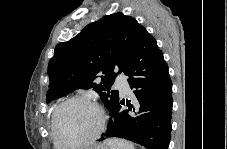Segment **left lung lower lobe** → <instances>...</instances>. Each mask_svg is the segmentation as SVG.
<instances>
[{
	"mask_svg": "<svg viewBox=\"0 0 227 149\" xmlns=\"http://www.w3.org/2000/svg\"><path fill=\"white\" fill-rule=\"evenodd\" d=\"M124 74L135 99L117 100L111 107L106 133L100 138L119 137L148 149H168L171 134L172 82L156 40L139 28Z\"/></svg>",
	"mask_w": 227,
	"mask_h": 149,
	"instance_id": "1",
	"label": "left lung lower lobe"
}]
</instances>
